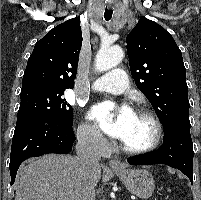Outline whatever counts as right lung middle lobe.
<instances>
[{"label": "right lung middle lobe", "instance_id": "obj_1", "mask_svg": "<svg viewBox=\"0 0 201 200\" xmlns=\"http://www.w3.org/2000/svg\"><path fill=\"white\" fill-rule=\"evenodd\" d=\"M64 91L33 90L20 94L21 104L17 120L32 115H47L72 124L73 111L65 99Z\"/></svg>", "mask_w": 201, "mask_h": 200}]
</instances>
